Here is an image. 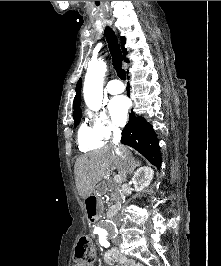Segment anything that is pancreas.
<instances>
[{"mask_svg":"<svg viewBox=\"0 0 221 266\" xmlns=\"http://www.w3.org/2000/svg\"><path fill=\"white\" fill-rule=\"evenodd\" d=\"M109 191L111 192V201L114 202V205L110 207V211L112 212L119 209L123 196L119 194L117 189L110 188Z\"/></svg>","mask_w":221,"mask_h":266,"instance_id":"cf45deb5","label":"pancreas"}]
</instances>
